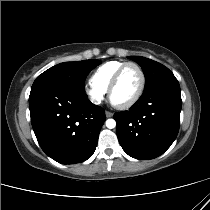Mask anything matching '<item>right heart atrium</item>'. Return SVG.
I'll return each mask as SVG.
<instances>
[{
  "mask_svg": "<svg viewBox=\"0 0 210 210\" xmlns=\"http://www.w3.org/2000/svg\"><path fill=\"white\" fill-rule=\"evenodd\" d=\"M84 92L88 96L90 101L95 104L101 103L105 96V91L94 86L92 83H87L84 85Z\"/></svg>",
  "mask_w": 210,
  "mask_h": 210,
  "instance_id": "d8ad5b80",
  "label": "right heart atrium"
}]
</instances>
